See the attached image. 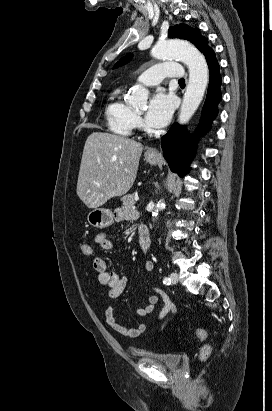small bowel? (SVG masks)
Returning <instances> with one entry per match:
<instances>
[{
  "mask_svg": "<svg viewBox=\"0 0 272 411\" xmlns=\"http://www.w3.org/2000/svg\"><path fill=\"white\" fill-rule=\"evenodd\" d=\"M137 217L138 213L132 209H122L118 211L115 216L117 221H130L135 220ZM94 241L105 251H111L114 248L113 242L104 232L97 233L94 237ZM93 266L97 272L98 282L105 287L106 296L112 299L119 297L126 288L127 279L117 272L109 271L107 262L100 256H96L93 259ZM144 269L146 272H152L154 263L150 260L145 261ZM154 291L155 294L148 295L146 297V303L138 306L135 309V313L139 317H145L153 313L159 302L162 301L163 307L158 313L156 322L154 323L158 325L157 334H159L173 322L177 314V308L165 291L158 287H155ZM169 314L170 316H168ZM104 316L107 325L111 329L127 338H136L144 334L148 328V326L142 322L138 323L137 326L133 328H127L121 325L116 321L111 306H108L105 309Z\"/></svg>",
  "mask_w": 272,
  "mask_h": 411,
  "instance_id": "c3829d8e",
  "label": "small bowel"
}]
</instances>
